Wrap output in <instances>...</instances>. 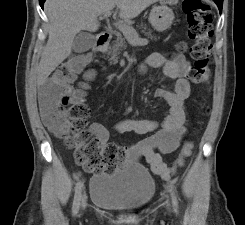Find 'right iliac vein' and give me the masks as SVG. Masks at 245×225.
I'll return each mask as SVG.
<instances>
[{
    "label": "right iliac vein",
    "mask_w": 245,
    "mask_h": 225,
    "mask_svg": "<svg viewBox=\"0 0 245 225\" xmlns=\"http://www.w3.org/2000/svg\"><path fill=\"white\" fill-rule=\"evenodd\" d=\"M81 207L84 209L86 207V196H82Z\"/></svg>",
    "instance_id": "right-iliac-vein-1"
}]
</instances>
